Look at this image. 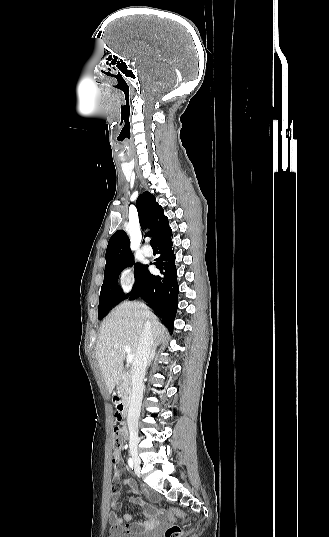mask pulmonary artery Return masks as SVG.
<instances>
[{
  "label": "pulmonary artery",
  "instance_id": "1",
  "mask_svg": "<svg viewBox=\"0 0 329 537\" xmlns=\"http://www.w3.org/2000/svg\"><path fill=\"white\" fill-rule=\"evenodd\" d=\"M142 252L144 255L146 256H151L152 255V248L148 245H145L142 247Z\"/></svg>",
  "mask_w": 329,
  "mask_h": 537
}]
</instances>
